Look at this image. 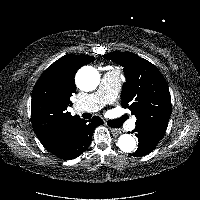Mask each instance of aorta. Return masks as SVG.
<instances>
[{
  "label": "aorta",
  "instance_id": "aorta-1",
  "mask_svg": "<svg viewBox=\"0 0 200 200\" xmlns=\"http://www.w3.org/2000/svg\"><path fill=\"white\" fill-rule=\"evenodd\" d=\"M100 81L98 71L91 66L82 67L76 74V84L79 89L89 92L97 88ZM118 147L125 153H131L136 148V140L129 134H123L118 138Z\"/></svg>",
  "mask_w": 200,
  "mask_h": 200
}]
</instances>
